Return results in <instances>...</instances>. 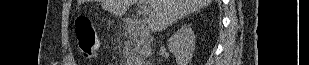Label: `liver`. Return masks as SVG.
<instances>
[{
	"instance_id": "liver-1",
	"label": "liver",
	"mask_w": 309,
	"mask_h": 65,
	"mask_svg": "<svg viewBox=\"0 0 309 65\" xmlns=\"http://www.w3.org/2000/svg\"><path fill=\"white\" fill-rule=\"evenodd\" d=\"M137 0H99L104 10L121 17ZM150 6L148 25L152 31H162L171 23L182 19L203 7L211 0H146Z\"/></svg>"
}]
</instances>
